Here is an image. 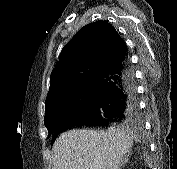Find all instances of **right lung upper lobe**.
Segmentation results:
<instances>
[{
    "label": "right lung upper lobe",
    "mask_w": 177,
    "mask_h": 169,
    "mask_svg": "<svg viewBox=\"0 0 177 169\" xmlns=\"http://www.w3.org/2000/svg\"><path fill=\"white\" fill-rule=\"evenodd\" d=\"M125 52L124 40L108 22L97 21L84 26L62 49L50 76L45 107L66 99L91 82L100 70Z\"/></svg>",
    "instance_id": "right-lung-upper-lobe-1"
}]
</instances>
